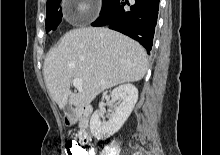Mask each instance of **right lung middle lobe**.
I'll return each mask as SVG.
<instances>
[{
    "label": "right lung middle lobe",
    "mask_w": 220,
    "mask_h": 155,
    "mask_svg": "<svg viewBox=\"0 0 220 155\" xmlns=\"http://www.w3.org/2000/svg\"><path fill=\"white\" fill-rule=\"evenodd\" d=\"M112 1L113 0H103L102 10L110 5ZM60 2L61 0H54L47 4L46 32L56 29L62 20V11H58Z\"/></svg>",
    "instance_id": "right-lung-middle-lobe-1"
}]
</instances>
